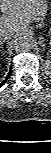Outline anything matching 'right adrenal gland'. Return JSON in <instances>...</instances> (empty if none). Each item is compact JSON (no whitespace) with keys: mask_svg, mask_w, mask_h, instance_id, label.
Returning a JSON list of instances; mask_svg holds the SVG:
<instances>
[{"mask_svg":"<svg viewBox=\"0 0 51 153\" xmlns=\"http://www.w3.org/2000/svg\"><path fill=\"white\" fill-rule=\"evenodd\" d=\"M2 44H3V43L1 42V46H0V48H2Z\"/></svg>","mask_w":51,"mask_h":153,"instance_id":"right-adrenal-gland-1","label":"right adrenal gland"}]
</instances>
